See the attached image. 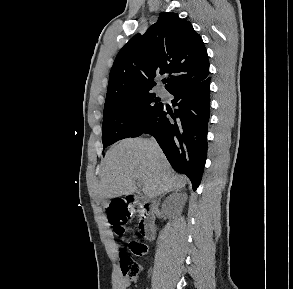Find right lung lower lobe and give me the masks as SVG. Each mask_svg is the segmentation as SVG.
Wrapping results in <instances>:
<instances>
[{"instance_id":"right-lung-lower-lobe-1","label":"right lung lower lobe","mask_w":293,"mask_h":289,"mask_svg":"<svg viewBox=\"0 0 293 289\" xmlns=\"http://www.w3.org/2000/svg\"><path fill=\"white\" fill-rule=\"evenodd\" d=\"M210 77L172 91L174 113L163 104L131 135L155 137L172 167L186 174L196 190L202 178L207 154L210 117ZM170 115V117L168 116Z\"/></svg>"}]
</instances>
